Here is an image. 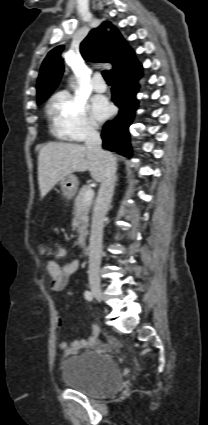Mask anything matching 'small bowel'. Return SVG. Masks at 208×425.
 Segmentation results:
<instances>
[{"label": "small bowel", "instance_id": "obj_1", "mask_svg": "<svg viewBox=\"0 0 208 425\" xmlns=\"http://www.w3.org/2000/svg\"><path fill=\"white\" fill-rule=\"evenodd\" d=\"M67 255L65 248L58 246L54 259L48 261L46 269L49 275L50 288L54 292H60L71 283V278L78 268L77 261L71 263H60V259ZM58 324L62 323V318L57 317ZM99 329L92 325L90 334L86 339H77L72 342L62 340L59 342V348L66 354L72 355L87 348H92L98 344Z\"/></svg>", "mask_w": 208, "mask_h": 425}]
</instances>
